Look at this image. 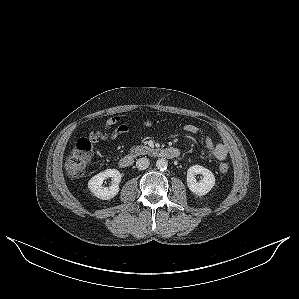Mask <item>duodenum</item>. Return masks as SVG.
<instances>
[{
	"label": "duodenum",
	"mask_w": 299,
	"mask_h": 299,
	"mask_svg": "<svg viewBox=\"0 0 299 299\" xmlns=\"http://www.w3.org/2000/svg\"><path fill=\"white\" fill-rule=\"evenodd\" d=\"M156 154L160 157L167 158V159H174L180 156V151L176 148L172 147H165L158 149ZM134 163V157L132 155H125L120 158L119 166L121 168H129Z\"/></svg>",
	"instance_id": "1"
}]
</instances>
